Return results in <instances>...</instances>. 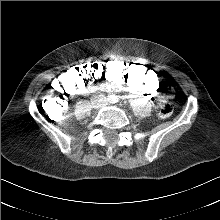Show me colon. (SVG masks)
Masks as SVG:
<instances>
[{
    "mask_svg": "<svg viewBox=\"0 0 220 220\" xmlns=\"http://www.w3.org/2000/svg\"><path fill=\"white\" fill-rule=\"evenodd\" d=\"M98 81L124 82L131 86L154 91L159 88L161 78L156 69L133 61L122 62L117 59L108 62H93L78 65L68 70L58 79L54 80L49 88V97L44 100V108L48 113L62 112L67 96L79 87L90 85ZM159 94L152 95V105L162 117L172 112V105L168 98L173 90L169 86H161Z\"/></svg>",
    "mask_w": 220,
    "mask_h": 220,
    "instance_id": "colon-1",
    "label": "colon"
}]
</instances>
